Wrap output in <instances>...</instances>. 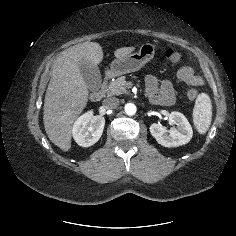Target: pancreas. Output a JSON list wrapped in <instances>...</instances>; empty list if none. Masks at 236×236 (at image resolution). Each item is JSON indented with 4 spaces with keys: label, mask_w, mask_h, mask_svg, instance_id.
Wrapping results in <instances>:
<instances>
[{
    "label": "pancreas",
    "mask_w": 236,
    "mask_h": 236,
    "mask_svg": "<svg viewBox=\"0 0 236 236\" xmlns=\"http://www.w3.org/2000/svg\"><path fill=\"white\" fill-rule=\"evenodd\" d=\"M126 87L127 82L125 81V77L121 76L108 84L106 93L108 96L126 94Z\"/></svg>",
    "instance_id": "1"
}]
</instances>
